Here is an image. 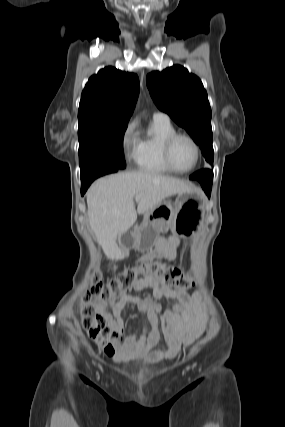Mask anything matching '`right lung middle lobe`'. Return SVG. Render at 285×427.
I'll use <instances>...</instances> for the list:
<instances>
[{"label":"right lung middle lobe","instance_id":"1","mask_svg":"<svg viewBox=\"0 0 285 427\" xmlns=\"http://www.w3.org/2000/svg\"><path fill=\"white\" fill-rule=\"evenodd\" d=\"M128 121L86 119L79 121V164L81 177L99 169L126 167L123 136Z\"/></svg>","mask_w":285,"mask_h":427}]
</instances>
